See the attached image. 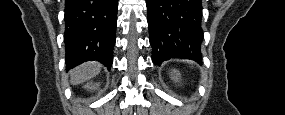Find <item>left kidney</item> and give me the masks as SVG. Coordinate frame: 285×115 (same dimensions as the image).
I'll use <instances>...</instances> for the list:
<instances>
[{
	"instance_id": "left-kidney-1",
	"label": "left kidney",
	"mask_w": 285,
	"mask_h": 115,
	"mask_svg": "<svg viewBox=\"0 0 285 115\" xmlns=\"http://www.w3.org/2000/svg\"><path fill=\"white\" fill-rule=\"evenodd\" d=\"M171 79L174 82H180L181 81V74H180V72L175 70V69L171 70Z\"/></svg>"
}]
</instances>
